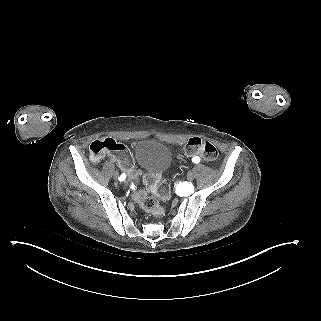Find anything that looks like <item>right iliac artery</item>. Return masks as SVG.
I'll list each match as a JSON object with an SVG mask.
<instances>
[{
    "mask_svg": "<svg viewBox=\"0 0 321 321\" xmlns=\"http://www.w3.org/2000/svg\"><path fill=\"white\" fill-rule=\"evenodd\" d=\"M125 179H126V175H125V174H121L119 180L123 181V180H125Z\"/></svg>",
    "mask_w": 321,
    "mask_h": 321,
    "instance_id": "82829eb1",
    "label": "right iliac artery"
}]
</instances>
